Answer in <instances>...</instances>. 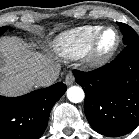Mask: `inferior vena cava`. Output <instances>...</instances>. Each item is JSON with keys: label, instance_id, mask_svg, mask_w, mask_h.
I'll list each match as a JSON object with an SVG mask.
<instances>
[{"label": "inferior vena cava", "instance_id": "obj_1", "mask_svg": "<svg viewBox=\"0 0 139 139\" xmlns=\"http://www.w3.org/2000/svg\"><path fill=\"white\" fill-rule=\"evenodd\" d=\"M59 68H51L43 70L35 79L37 87H48L52 85L59 76Z\"/></svg>", "mask_w": 139, "mask_h": 139}]
</instances>
